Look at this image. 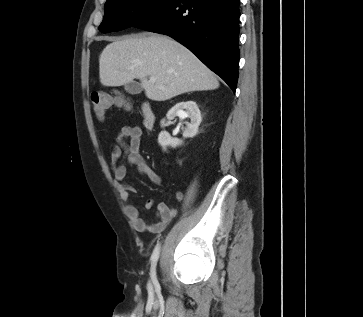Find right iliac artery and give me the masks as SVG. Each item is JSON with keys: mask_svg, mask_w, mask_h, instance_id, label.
Here are the masks:
<instances>
[{"mask_svg": "<svg viewBox=\"0 0 363 317\" xmlns=\"http://www.w3.org/2000/svg\"><path fill=\"white\" fill-rule=\"evenodd\" d=\"M160 244H157L151 255V278L156 281V265L159 258Z\"/></svg>", "mask_w": 363, "mask_h": 317, "instance_id": "82829eb1", "label": "right iliac artery"}]
</instances>
